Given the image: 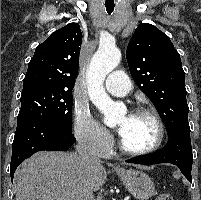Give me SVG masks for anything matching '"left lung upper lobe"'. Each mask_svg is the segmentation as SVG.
<instances>
[{
  "label": "left lung upper lobe",
  "instance_id": "1",
  "mask_svg": "<svg viewBox=\"0 0 201 200\" xmlns=\"http://www.w3.org/2000/svg\"><path fill=\"white\" fill-rule=\"evenodd\" d=\"M126 57L133 80L157 109L168 135L189 129L185 73L169 37L154 25L141 23Z\"/></svg>",
  "mask_w": 201,
  "mask_h": 200
}]
</instances>
